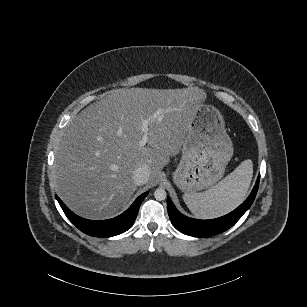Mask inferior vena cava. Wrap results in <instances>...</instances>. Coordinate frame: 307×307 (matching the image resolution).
<instances>
[{
	"instance_id": "1",
	"label": "inferior vena cava",
	"mask_w": 307,
	"mask_h": 307,
	"mask_svg": "<svg viewBox=\"0 0 307 307\" xmlns=\"http://www.w3.org/2000/svg\"><path fill=\"white\" fill-rule=\"evenodd\" d=\"M150 171L147 165L141 164L133 173V181L136 185L140 186L149 180Z\"/></svg>"
}]
</instances>
